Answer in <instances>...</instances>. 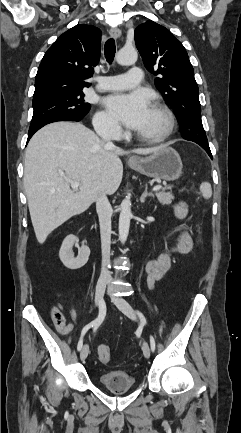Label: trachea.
Instances as JSON below:
<instances>
[{"mask_svg": "<svg viewBox=\"0 0 241 433\" xmlns=\"http://www.w3.org/2000/svg\"><path fill=\"white\" fill-rule=\"evenodd\" d=\"M116 52L115 40L110 38L104 46V54L108 63H112Z\"/></svg>", "mask_w": 241, "mask_h": 433, "instance_id": "trachea-1", "label": "trachea"}]
</instances>
